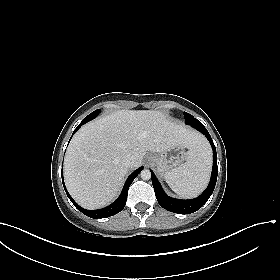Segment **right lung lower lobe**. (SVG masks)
<instances>
[{
  "label": "right lung lower lobe",
  "mask_w": 280,
  "mask_h": 280,
  "mask_svg": "<svg viewBox=\"0 0 280 280\" xmlns=\"http://www.w3.org/2000/svg\"><path fill=\"white\" fill-rule=\"evenodd\" d=\"M89 121V119H87L86 117L82 120V122L77 126V128L74 130L73 134L80 128L81 125L87 123ZM72 134V135H73ZM143 170V167L138 168L136 171H134L126 180L125 185L123 187V190L119 196V198L112 203L111 205L99 209V210H86L82 207H80L73 199L72 197L69 195V193L67 192V189L64 185L63 182V186L65 189V192L68 196V198L71 200V202L74 204V206L79 209L83 214H85L88 217L97 219V218H106L109 216H113L117 213H119L125 206L126 204V200H127V194H128V189L129 186L131 185V183L133 182L134 178ZM62 179H63V175H62Z\"/></svg>",
  "instance_id": "obj_1"
}]
</instances>
